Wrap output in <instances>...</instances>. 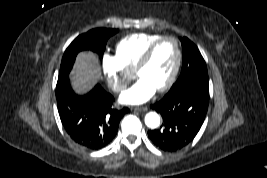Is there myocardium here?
I'll use <instances>...</instances> for the list:
<instances>
[{
    "label": "myocardium",
    "instance_id": "f54148a6",
    "mask_svg": "<svg viewBox=\"0 0 267 178\" xmlns=\"http://www.w3.org/2000/svg\"><path fill=\"white\" fill-rule=\"evenodd\" d=\"M165 40H172L174 42L175 47H176L177 57H176V62H175V65L173 67L170 77L168 78L165 84H163L160 88L156 90L157 92H160V93L165 92L168 89H170L172 85L174 84V82L176 81V78L178 76V73H179V70L182 64V58H183L182 48H181V44L179 40L173 35H165V36L160 37L146 49V51L142 55L141 59L139 60L135 68V74L137 75V73L140 70H142L149 64L155 50Z\"/></svg>",
    "mask_w": 267,
    "mask_h": 178
}]
</instances>
